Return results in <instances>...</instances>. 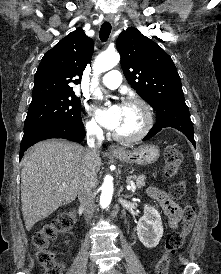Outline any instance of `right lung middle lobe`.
Returning a JSON list of instances; mask_svg holds the SVG:
<instances>
[{
	"label": "right lung middle lobe",
	"mask_w": 221,
	"mask_h": 274,
	"mask_svg": "<svg viewBox=\"0 0 221 274\" xmlns=\"http://www.w3.org/2000/svg\"><path fill=\"white\" fill-rule=\"evenodd\" d=\"M49 122L83 126L80 99L75 96V93L32 99L24 129Z\"/></svg>",
	"instance_id": "1"
}]
</instances>
